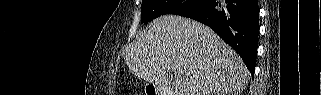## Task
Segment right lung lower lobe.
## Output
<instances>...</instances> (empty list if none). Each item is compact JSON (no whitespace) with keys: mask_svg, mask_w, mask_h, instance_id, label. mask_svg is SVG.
Segmentation results:
<instances>
[{"mask_svg":"<svg viewBox=\"0 0 321 95\" xmlns=\"http://www.w3.org/2000/svg\"><path fill=\"white\" fill-rule=\"evenodd\" d=\"M185 17L212 28L241 56L254 75L259 34L258 0H207L197 13Z\"/></svg>","mask_w":321,"mask_h":95,"instance_id":"98d812e1","label":"right lung lower lobe"}]
</instances>
